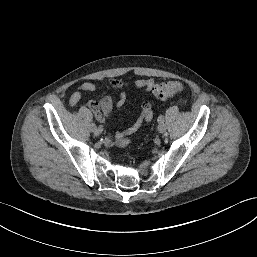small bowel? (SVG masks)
<instances>
[{"label":"small bowel","instance_id":"small-bowel-1","mask_svg":"<svg viewBox=\"0 0 257 257\" xmlns=\"http://www.w3.org/2000/svg\"><path fill=\"white\" fill-rule=\"evenodd\" d=\"M109 84L114 89H121L127 86V83L121 80L111 79ZM156 82L153 78L138 79L134 82L133 87L136 89H143L145 91H152ZM97 90L96 84L93 82H84L78 89L72 93L69 99L70 106H75L81 100L84 93L94 92ZM126 93L119 92L115 96H104L99 102L91 100L88 102L89 109L95 114L96 119L105 123L110 117L113 104L116 103L118 107L122 106L126 100ZM153 117L152 107L148 102L141 104V113L138 119L126 128L124 131L116 133L114 136L108 135L106 137V144L126 146L131 142L129 138L132 134L136 133L144 123L149 122Z\"/></svg>","mask_w":257,"mask_h":257}]
</instances>
